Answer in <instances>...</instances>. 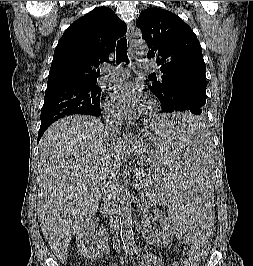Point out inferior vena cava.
Segmentation results:
<instances>
[{"mask_svg":"<svg viewBox=\"0 0 253 266\" xmlns=\"http://www.w3.org/2000/svg\"><path fill=\"white\" fill-rule=\"evenodd\" d=\"M105 134L107 139L112 142L120 141V131L122 120L118 115L113 113L105 114ZM111 177L103 188V200L109 206L108 213L110 215L111 226L113 227V232L115 238L118 239L120 234L119 216H118V204H117V180L116 174H110Z\"/></svg>","mask_w":253,"mask_h":266,"instance_id":"1","label":"inferior vena cava"}]
</instances>
